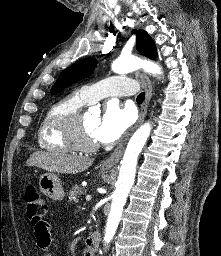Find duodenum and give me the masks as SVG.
<instances>
[{
	"label": "duodenum",
	"mask_w": 221,
	"mask_h": 256,
	"mask_svg": "<svg viewBox=\"0 0 221 256\" xmlns=\"http://www.w3.org/2000/svg\"><path fill=\"white\" fill-rule=\"evenodd\" d=\"M99 242H100V235H99L98 232H93L85 240L86 247L92 253H95L97 251L98 246H99Z\"/></svg>",
	"instance_id": "duodenum-1"
}]
</instances>
